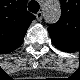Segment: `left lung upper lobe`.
Here are the masks:
<instances>
[{
    "mask_svg": "<svg viewBox=\"0 0 80 80\" xmlns=\"http://www.w3.org/2000/svg\"><path fill=\"white\" fill-rule=\"evenodd\" d=\"M62 15L61 19L54 25L48 28L49 35L52 40L57 38L58 42L70 44L73 38L80 37V19L74 16L68 3L61 0Z\"/></svg>",
    "mask_w": 80,
    "mask_h": 80,
    "instance_id": "1",
    "label": "left lung upper lobe"
}]
</instances>
